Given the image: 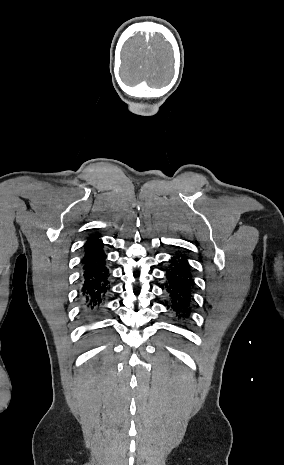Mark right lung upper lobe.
I'll list each match as a JSON object with an SVG mask.
<instances>
[{
    "mask_svg": "<svg viewBox=\"0 0 284 465\" xmlns=\"http://www.w3.org/2000/svg\"><path fill=\"white\" fill-rule=\"evenodd\" d=\"M98 238H99L98 235L91 236V237L88 239V241L86 242V244H85L84 247H85V248L89 247L91 244H93L95 241H97Z\"/></svg>",
    "mask_w": 284,
    "mask_h": 465,
    "instance_id": "1",
    "label": "right lung upper lobe"
}]
</instances>
